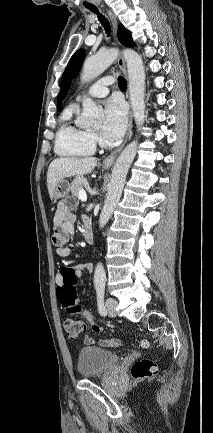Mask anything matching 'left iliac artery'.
Listing matches in <instances>:
<instances>
[{
    "label": "left iliac artery",
    "instance_id": "obj_1",
    "mask_svg": "<svg viewBox=\"0 0 213 433\" xmlns=\"http://www.w3.org/2000/svg\"><path fill=\"white\" fill-rule=\"evenodd\" d=\"M96 292H97L98 311L100 315L105 316L107 313L104 305L105 287L104 286L97 287Z\"/></svg>",
    "mask_w": 213,
    "mask_h": 433
}]
</instances>
